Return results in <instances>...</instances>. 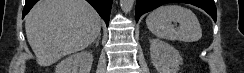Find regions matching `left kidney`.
Returning <instances> with one entry per match:
<instances>
[{
    "label": "left kidney",
    "instance_id": "1",
    "mask_svg": "<svg viewBox=\"0 0 244 73\" xmlns=\"http://www.w3.org/2000/svg\"><path fill=\"white\" fill-rule=\"evenodd\" d=\"M150 57L158 73H177L183 63L180 53L159 39L150 40Z\"/></svg>",
    "mask_w": 244,
    "mask_h": 73
}]
</instances>
